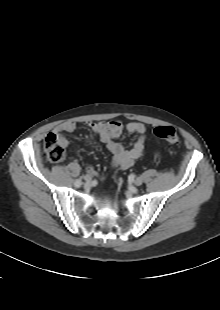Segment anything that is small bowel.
<instances>
[{
	"label": "small bowel",
	"instance_id": "c3829d8e",
	"mask_svg": "<svg viewBox=\"0 0 220 310\" xmlns=\"http://www.w3.org/2000/svg\"><path fill=\"white\" fill-rule=\"evenodd\" d=\"M91 131L92 139L94 135L100 136L107 141V147L113 154L111 167L113 169L125 170L131 168L135 162L143 155L146 142V127L140 122H129L123 124L120 121H108V122H92L88 124ZM76 129V123L73 121H66L59 124L54 133L61 139L64 147L68 145V141L64 136V133L73 132ZM124 132L137 135V140L134 142L131 148H126L121 143L116 142L114 139L121 136ZM88 175H95L96 172L92 167L86 168Z\"/></svg>",
	"mask_w": 220,
	"mask_h": 310
}]
</instances>
